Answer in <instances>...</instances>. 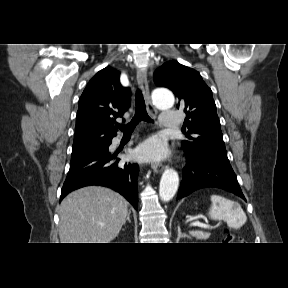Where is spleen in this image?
Listing matches in <instances>:
<instances>
[{"instance_id": "obj_1", "label": "spleen", "mask_w": 288, "mask_h": 288, "mask_svg": "<svg viewBox=\"0 0 288 288\" xmlns=\"http://www.w3.org/2000/svg\"><path fill=\"white\" fill-rule=\"evenodd\" d=\"M211 207L208 216L213 220H223L233 229L241 228L247 220L240 204L220 195L211 196Z\"/></svg>"}]
</instances>
